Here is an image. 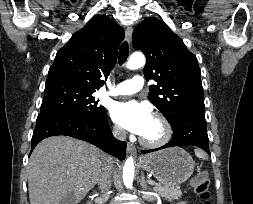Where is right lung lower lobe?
<instances>
[{
	"mask_svg": "<svg viewBox=\"0 0 253 204\" xmlns=\"http://www.w3.org/2000/svg\"><path fill=\"white\" fill-rule=\"evenodd\" d=\"M55 135L87 141L120 160L125 159L126 143L115 140L106 114L100 120H90L65 113H40L32 136L31 151L41 140ZM114 141L116 145H113Z\"/></svg>",
	"mask_w": 253,
	"mask_h": 204,
	"instance_id": "obj_1",
	"label": "right lung lower lobe"
}]
</instances>
